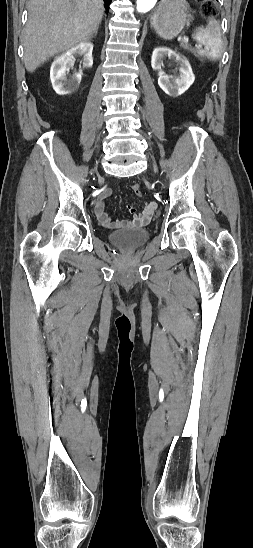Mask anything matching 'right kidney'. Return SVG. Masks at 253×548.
I'll list each match as a JSON object with an SVG mask.
<instances>
[{"mask_svg": "<svg viewBox=\"0 0 253 548\" xmlns=\"http://www.w3.org/2000/svg\"><path fill=\"white\" fill-rule=\"evenodd\" d=\"M93 44L85 41L77 44L68 51L60 54L53 61L50 69V79L55 92L59 95H68L79 86L82 78V70L67 78V71L73 67L75 56H83V67L90 68L93 65Z\"/></svg>", "mask_w": 253, "mask_h": 548, "instance_id": "1", "label": "right kidney"}]
</instances>
